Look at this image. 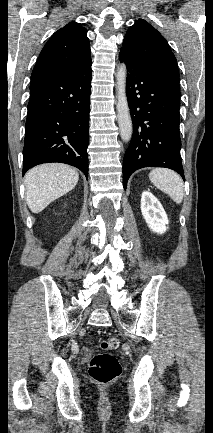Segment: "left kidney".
Segmentation results:
<instances>
[{
	"label": "left kidney",
	"instance_id": "1",
	"mask_svg": "<svg viewBox=\"0 0 213 433\" xmlns=\"http://www.w3.org/2000/svg\"><path fill=\"white\" fill-rule=\"evenodd\" d=\"M141 212L148 227L157 234L166 232L169 221L159 200L149 191L141 196Z\"/></svg>",
	"mask_w": 213,
	"mask_h": 433
}]
</instances>
